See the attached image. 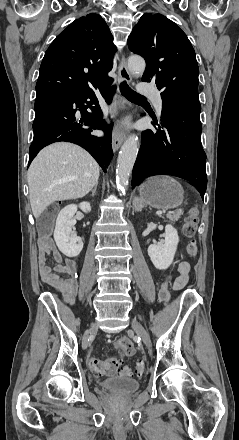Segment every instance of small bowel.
Returning a JSON list of instances; mask_svg holds the SVG:
<instances>
[{"mask_svg":"<svg viewBox=\"0 0 239 440\" xmlns=\"http://www.w3.org/2000/svg\"><path fill=\"white\" fill-rule=\"evenodd\" d=\"M52 255L55 266L48 264V256ZM40 274L43 282L61 293L64 300L73 303L77 293V264L71 258H63L53 243L47 242L40 246L39 252ZM190 264L187 261L180 262L178 276L173 283V288H183L189 281Z\"/></svg>","mask_w":239,"mask_h":440,"instance_id":"c3829d8e","label":"small bowel"}]
</instances>
